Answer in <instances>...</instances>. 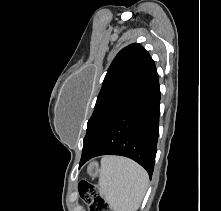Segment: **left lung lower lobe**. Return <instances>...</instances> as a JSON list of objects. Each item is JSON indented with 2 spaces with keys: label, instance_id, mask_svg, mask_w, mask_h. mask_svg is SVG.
<instances>
[{
  "label": "left lung lower lobe",
  "instance_id": "0a47b994",
  "mask_svg": "<svg viewBox=\"0 0 221 211\" xmlns=\"http://www.w3.org/2000/svg\"><path fill=\"white\" fill-rule=\"evenodd\" d=\"M160 87L156 67L138 94L122 109L109 127L81 157L85 162L100 155H121L143 166L152 177L159 127Z\"/></svg>",
  "mask_w": 221,
  "mask_h": 211
}]
</instances>
